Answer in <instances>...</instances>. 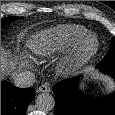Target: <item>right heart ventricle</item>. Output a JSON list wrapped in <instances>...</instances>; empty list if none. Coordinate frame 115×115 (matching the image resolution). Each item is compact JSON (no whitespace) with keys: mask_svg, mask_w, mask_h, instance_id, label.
<instances>
[{"mask_svg":"<svg viewBox=\"0 0 115 115\" xmlns=\"http://www.w3.org/2000/svg\"><path fill=\"white\" fill-rule=\"evenodd\" d=\"M87 33V28L82 25H60L32 35L28 40V47L34 56L41 59L50 58L72 47Z\"/></svg>","mask_w":115,"mask_h":115,"instance_id":"right-heart-ventricle-1","label":"right heart ventricle"}]
</instances>
